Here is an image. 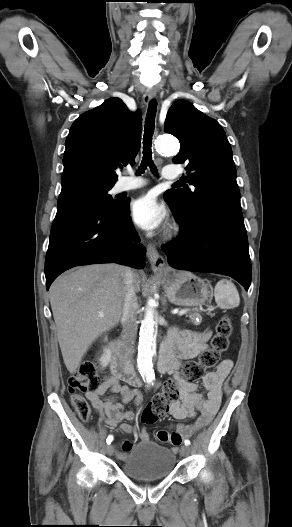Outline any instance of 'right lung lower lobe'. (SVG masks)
I'll list each match as a JSON object with an SVG mask.
<instances>
[{
    "label": "right lung lower lobe",
    "mask_w": 292,
    "mask_h": 527,
    "mask_svg": "<svg viewBox=\"0 0 292 527\" xmlns=\"http://www.w3.org/2000/svg\"><path fill=\"white\" fill-rule=\"evenodd\" d=\"M138 242L126 201L113 210L81 199L58 202L45 260L47 290L75 266L116 262L143 268L146 249Z\"/></svg>",
    "instance_id": "right-lung-lower-lobe-1"
}]
</instances>
